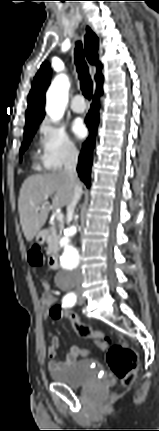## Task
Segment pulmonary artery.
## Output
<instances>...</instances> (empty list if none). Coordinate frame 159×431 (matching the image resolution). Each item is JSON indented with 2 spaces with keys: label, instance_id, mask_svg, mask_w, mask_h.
Instances as JSON below:
<instances>
[{
  "label": "pulmonary artery",
  "instance_id": "1",
  "mask_svg": "<svg viewBox=\"0 0 159 431\" xmlns=\"http://www.w3.org/2000/svg\"><path fill=\"white\" fill-rule=\"evenodd\" d=\"M71 109L76 113H82L85 111L86 104L81 94H77L73 97L71 102Z\"/></svg>",
  "mask_w": 159,
  "mask_h": 431
}]
</instances>
